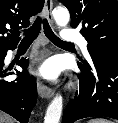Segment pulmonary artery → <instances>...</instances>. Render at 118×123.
Returning a JSON list of instances; mask_svg holds the SVG:
<instances>
[{"mask_svg": "<svg viewBox=\"0 0 118 123\" xmlns=\"http://www.w3.org/2000/svg\"><path fill=\"white\" fill-rule=\"evenodd\" d=\"M62 38L63 40H66V41L77 42L81 46L85 56L90 59V55L87 50V41L83 37H81L79 34H77L73 29H70V28L64 29L62 32Z\"/></svg>", "mask_w": 118, "mask_h": 123, "instance_id": "1", "label": "pulmonary artery"}]
</instances>
